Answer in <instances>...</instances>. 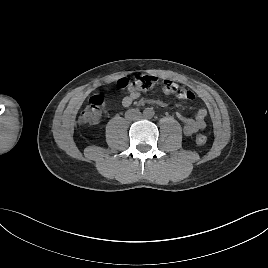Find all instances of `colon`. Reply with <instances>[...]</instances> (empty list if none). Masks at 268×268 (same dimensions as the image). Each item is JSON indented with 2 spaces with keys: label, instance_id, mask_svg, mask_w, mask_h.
<instances>
[{
  "label": "colon",
  "instance_id": "5ec220e1",
  "mask_svg": "<svg viewBox=\"0 0 268 268\" xmlns=\"http://www.w3.org/2000/svg\"><path fill=\"white\" fill-rule=\"evenodd\" d=\"M159 84L158 79L151 75H141L134 78H122L116 82V90L139 89L150 90ZM161 89L167 94H173L178 98L185 100L194 99V93L189 89L175 83L171 80H163L160 84ZM104 98L101 95H93L89 98L86 107L79 116V121L83 124H96L100 121L102 115V107ZM208 141L207 134L201 133L197 135L196 142L203 145Z\"/></svg>",
  "mask_w": 268,
  "mask_h": 268
}]
</instances>
